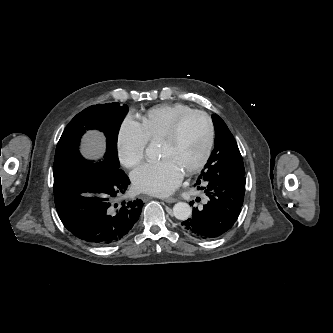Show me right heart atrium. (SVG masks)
<instances>
[{
	"label": "right heart atrium",
	"instance_id": "obj_1",
	"mask_svg": "<svg viewBox=\"0 0 333 333\" xmlns=\"http://www.w3.org/2000/svg\"><path fill=\"white\" fill-rule=\"evenodd\" d=\"M149 138L142 124L127 115L117 132L116 150L119 161L127 168H133L143 159Z\"/></svg>",
	"mask_w": 333,
	"mask_h": 333
}]
</instances>
